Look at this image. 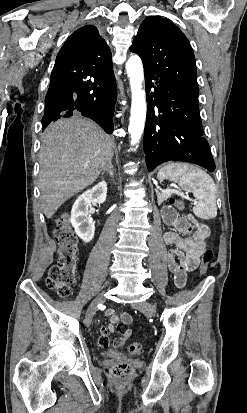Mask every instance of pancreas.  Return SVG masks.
<instances>
[{
  "instance_id": "cf45deb5",
  "label": "pancreas",
  "mask_w": 247,
  "mask_h": 413,
  "mask_svg": "<svg viewBox=\"0 0 247 413\" xmlns=\"http://www.w3.org/2000/svg\"><path fill=\"white\" fill-rule=\"evenodd\" d=\"M171 194L172 192H157L158 204H161V202H164V200H167V198H169Z\"/></svg>"
}]
</instances>
